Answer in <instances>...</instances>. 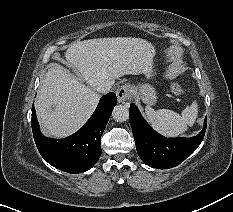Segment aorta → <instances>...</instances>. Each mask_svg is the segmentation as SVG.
Returning <instances> with one entry per match:
<instances>
[{"mask_svg":"<svg viewBox=\"0 0 233 212\" xmlns=\"http://www.w3.org/2000/svg\"><path fill=\"white\" fill-rule=\"evenodd\" d=\"M112 116L117 122L126 121L129 117V108L125 105H117L112 112Z\"/></svg>","mask_w":233,"mask_h":212,"instance_id":"762f6f07","label":"aorta"}]
</instances>
